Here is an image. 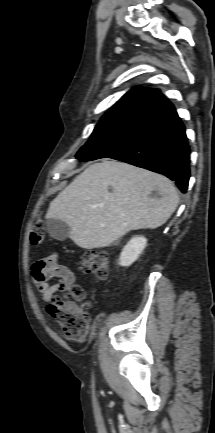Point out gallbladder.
<instances>
[{"mask_svg":"<svg viewBox=\"0 0 215 433\" xmlns=\"http://www.w3.org/2000/svg\"><path fill=\"white\" fill-rule=\"evenodd\" d=\"M50 236L56 240L63 241L69 237V225L59 219H49L46 222Z\"/></svg>","mask_w":215,"mask_h":433,"instance_id":"obj_1","label":"gallbladder"}]
</instances>
